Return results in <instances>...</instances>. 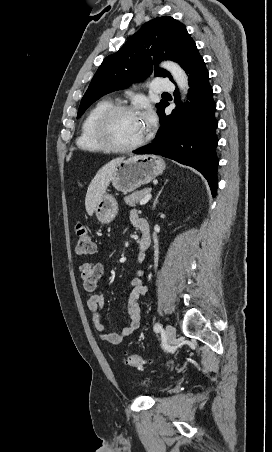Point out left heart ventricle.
Segmentation results:
<instances>
[{
	"instance_id": "left-heart-ventricle-1",
	"label": "left heart ventricle",
	"mask_w": 272,
	"mask_h": 452,
	"mask_svg": "<svg viewBox=\"0 0 272 452\" xmlns=\"http://www.w3.org/2000/svg\"><path fill=\"white\" fill-rule=\"evenodd\" d=\"M147 129L146 121L138 113H122L113 121L112 135L121 144H132L141 139Z\"/></svg>"
}]
</instances>
